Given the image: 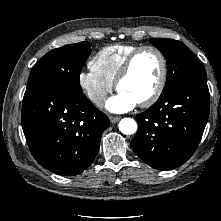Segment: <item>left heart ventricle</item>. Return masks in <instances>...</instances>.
I'll list each match as a JSON object with an SVG mask.
<instances>
[{
    "mask_svg": "<svg viewBox=\"0 0 221 221\" xmlns=\"http://www.w3.org/2000/svg\"><path fill=\"white\" fill-rule=\"evenodd\" d=\"M161 72L159 57L153 51L141 53L135 60L131 73L119 85V91L142 102L155 90Z\"/></svg>",
    "mask_w": 221,
    "mask_h": 221,
    "instance_id": "obj_1",
    "label": "left heart ventricle"
}]
</instances>
